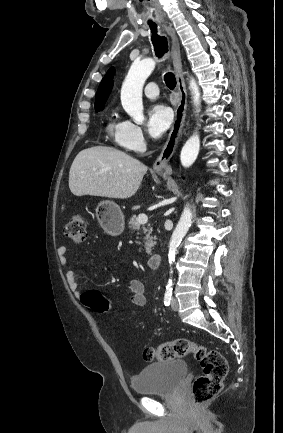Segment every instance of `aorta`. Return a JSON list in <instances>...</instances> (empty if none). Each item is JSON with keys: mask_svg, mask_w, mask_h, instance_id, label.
<instances>
[{"mask_svg": "<svg viewBox=\"0 0 283 433\" xmlns=\"http://www.w3.org/2000/svg\"><path fill=\"white\" fill-rule=\"evenodd\" d=\"M155 68V61L151 58H146L141 61H135L123 82L121 88V103L127 114L137 124H142L144 121L142 90L146 79L150 76ZM190 91L192 100L196 108V112L200 111V90L193 77L190 78ZM200 150V137L195 132L184 144L180 160L183 167H190L196 160ZM192 213L188 205L185 206L181 218L173 231L169 243L168 260L171 265L175 261L177 249L191 226ZM172 273V270H171ZM168 285H172V280L169 279Z\"/></svg>", "mask_w": 283, "mask_h": 433, "instance_id": "1", "label": "aorta"}]
</instances>
